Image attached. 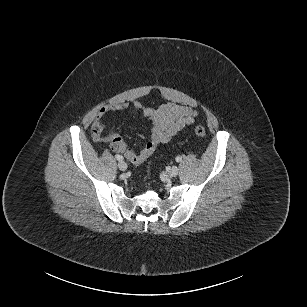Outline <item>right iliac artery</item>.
Here are the masks:
<instances>
[{
  "mask_svg": "<svg viewBox=\"0 0 307 307\" xmlns=\"http://www.w3.org/2000/svg\"><path fill=\"white\" fill-rule=\"evenodd\" d=\"M115 158L118 160V161H122L123 160V156L117 154L115 155Z\"/></svg>",
  "mask_w": 307,
  "mask_h": 307,
  "instance_id": "obj_1",
  "label": "right iliac artery"
}]
</instances>
